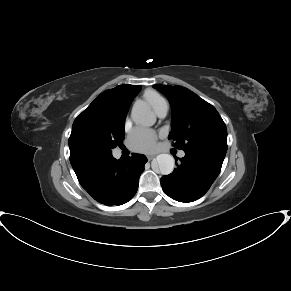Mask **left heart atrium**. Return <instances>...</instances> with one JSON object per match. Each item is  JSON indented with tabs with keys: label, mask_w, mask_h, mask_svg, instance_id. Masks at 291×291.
Wrapping results in <instances>:
<instances>
[{
	"label": "left heart atrium",
	"mask_w": 291,
	"mask_h": 291,
	"mask_svg": "<svg viewBox=\"0 0 291 291\" xmlns=\"http://www.w3.org/2000/svg\"><path fill=\"white\" fill-rule=\"evenodd\" d=\"M157 138L155 131L137 128L130 135V147L138 152H150L155 149Z\"/></svg>",
	"instance_id": "obj_1"
}]
</instances>
